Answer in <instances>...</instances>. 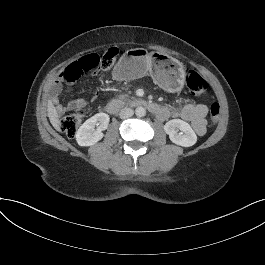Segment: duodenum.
Masks as SVG:
<instances>
[{
	"instance_id": "410a0bca",
	"label": "duodenum",
	"mask_w": 265,
	"mask_h": 265,
	"mask_svg": "<svg viewBox=\"0 0 265 265\" xmlns=\"http://www.w3.org/2000/svg\"><path fill=\"white\" fill-rule=\"evenodd\" d=\"M130 105L135 107H145L151 113L155 114L158 118L164 115V108L159 104L144 100V99H132V100H122V99H113L106 105V111L109 114H117L124 106Z\"/></svg>"
}]
</instances>
